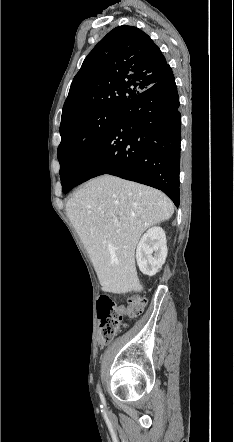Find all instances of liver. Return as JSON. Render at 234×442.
Wrapping results in <instances>:
<instances>
[{
	"label": "liver",
	"instance_id": "6515ba94",
	"mask_svg": "<svg viewBox=\"0 0 234 442\" xmlns=\"http://www.w3.org/2000/svg\"><path fill=\"white\" fill-rule=\"evenodd\" d=\"M66 211L89 253L102 290L115 294L141 291L135 248L148 227L171 218V200L154 188L103 175L74 193Z\"/></svg>",
	"mask_w": 234,
	"mask_h": 442
}]
</instances>
